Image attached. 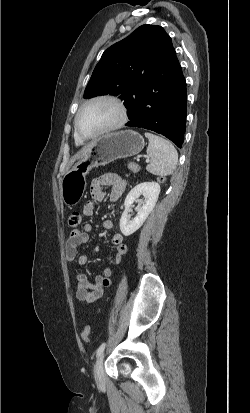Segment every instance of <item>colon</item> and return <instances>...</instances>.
<instances>
[{
    "label": "colon",
    "mask_w": 250,
    "mask_h": 413,
    "mask_svg": "<svg viewBox=\"0 0 250 413\" xmlns=\"http://www.w3.org/2000/svg\"><path fill=\"white\" fill-rule=\"evenodd\" d=\"M129 169L132 172H139L141 167L134 162H130L128 164ZM156 181L158 185H162L167 181V176L165 174H158L156 176ZM82 223V214L80 212H73L68 218V226L71 229V233L74 229H79ZM90 331L91 328L89 325L85 326L81 332V337L83 341L89 342L90 341Z\"/></svg>",
    "instance_id": "1"
}]
</instances>
